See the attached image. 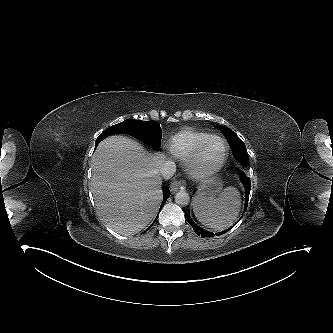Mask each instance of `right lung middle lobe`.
Segmentation results:
<instances>
[{
  "instance_id": "right-lung-middle-lobe-1",
  "label": "right lung middle lobe",
  "mask_w": 333,
  "mask_h": 333,
  "mask_svg": "<svg viewBox=\"0 0 333 333\" xmlns=\"http://www.w3.org/2000/svg\"><path fill=\"white\" fill-rule=\"evenodd\" d=\"M111 134L126 133L141 142L159 150L162 130L156 121L125 120L105 130Z\"/></svg>"
}]
</instances>
